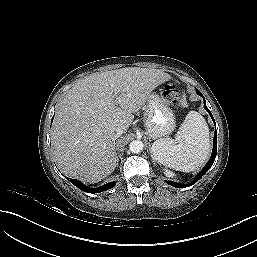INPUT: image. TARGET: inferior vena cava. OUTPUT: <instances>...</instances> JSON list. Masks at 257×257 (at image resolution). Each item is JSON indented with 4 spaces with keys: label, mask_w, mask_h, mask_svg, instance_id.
Returning a JSON list of instances; mask_svg holds the SVG:
<instances>
[{
    "label": "inferior vena cava",
    "mask_w": 257,
    "mask_h": 257,
    "mask_svg": "<svg viewBox=\"0 0 257 257\" xmlns=\"http://www.w3.org/2000/svg\"><path fill=\"white\" fill-rule=\"evenodd\" d=\"M124 133V131L121 128H117L114 132H113V140H116L117 138H119L122 134Z\"/></svg>",
    "instance_id": "inferior-vena-cava-1"
}]
</instances>
